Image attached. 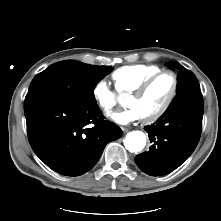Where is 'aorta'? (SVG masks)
I'll list each match as a JSON object with an SVG mask.
<instances>
[{
  "label": "aorta",
  "mask_w": 221,
  "mask_h": 221,
  "mask_svg": "<svg viewBox=\"0 0 221 221\" xmlns=\"http://www.w3.org/2000/svg\"><path fill=\"white\" fill-rule=\"evenodd\" d=\"M120 103H124V98L120 97ZM146 144V136L141 131L129 132L124 140L125 148L130 152L141 151Z\"/></svg>",
  "instance_id": "762f6f07"
}]
</instances>
